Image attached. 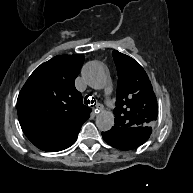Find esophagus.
Masks as SVG:
<instances>
[{
    "instance_id": "1",
    "label": "esophagus",
    "mask_w": 193,
    "mask_h": 193,
    "mask_svg": "<svg viewBox=\"0 0 193 193\" xmlns=\"http://www.w3.org/2000/svg\"><path fill=\"white\" fill-rule=\"evenodd\" d=\"M104 110V106L102 104H97V107L94 109L95 114H99Z\"/></svg>"
}]
</instances>
